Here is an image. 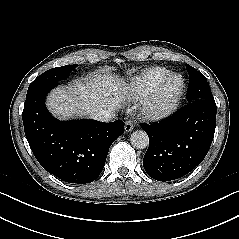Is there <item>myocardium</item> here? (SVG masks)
<instances>
[{"label":"myocardium","instance_id":"1","mask_svg":"<svg viewBox=\"0 0 239 239\" xmlns=\"http://www.w3.org/2000/svg\"><path fill=\"white\" fill-rule=\"evenodd\" d=\"M179 82L177 89L166 99L161 100V95L166 87L173 81ZM186 84L184 78L179 74H169L158 83L142 98L140 113L151 121H159L172 116L179 108L184 96Z\"/></svg>","mask_w":239,"mask_h":239}]
</instances>
